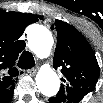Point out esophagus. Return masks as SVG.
Here are the masks:
<instances>
[{
  "mask_svg": "<svg viewBox=\"0 0 103 103\" xmlns=\"http://www.w3.org/2000/svg\"><path fill=\"white\" fill-rule=\"evenodd\" d=\"M37 72V68L33 67L32 69L29 70L30 74H35Z\"/></svg>",
  "mask_w": 103,
  "mask_h": 103,
  "instance_id": "34e87169",
  "label": "esophagus"
}]
</instances>
